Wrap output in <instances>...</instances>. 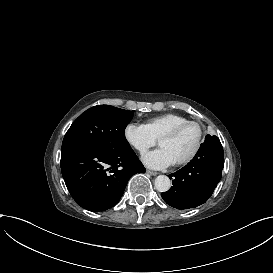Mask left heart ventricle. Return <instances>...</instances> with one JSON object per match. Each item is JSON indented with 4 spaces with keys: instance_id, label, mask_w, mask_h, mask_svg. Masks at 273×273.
Masks as SVG:
<instances>
[{
    "instance_id": "b2bd125f",
    "label": "left heart ventricle",
    "mask_w": 273,
    "mask_h": 273,
    "mask_svg": "<svg viewBox=\"0 0 273 273\" xmlns=\"http://www.w3.org/2000/svg\"><path fill=\"white\" fill-rule=\"evenodd\" d=\"M198 136V128L191 126L177 136L160 140L159 145L166 148L175 163L187 157L192 151Z\"/></svg>"
}]
</instances>
